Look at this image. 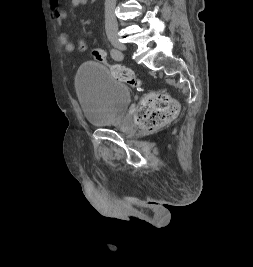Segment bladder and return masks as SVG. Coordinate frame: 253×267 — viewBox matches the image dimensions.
Masks as SVG:
<instances>
[{
  "label": "bladder",
  "mask_w": 253,
  "mask_h": 267,
  "mask_svg": "<svg viewBox=\"0 0 253 267\" xmlns=\"http://www.w3.org/2000/svg\"><path fill=\"white\" fill-rule=\"evenodd\" d=\"M76 90L85 120L96 127L115 123L131 102L130 88L95 62L80 67Z\"/></svg>",
  "instance_id": "obj_1"
}]
</instances>
